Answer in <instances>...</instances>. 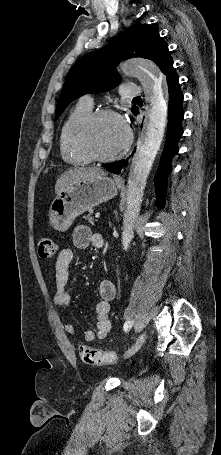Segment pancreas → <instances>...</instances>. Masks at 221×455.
I'll list each match as a JSON object with an SVG mask.
<instances>
[{
	"label": "pancreas",
	"instance_id": "pancreas-1",
	"mask_svg": "<svg viewBox=\"0 0 221 455\" xmlns=\"http://www.w3.org/2000/svg\"><path fill=\"white\" fill-rule=\"evenodd\" d=\"M91 214H92V212H89V214H88V215H85L83 218H84L85 220H88V221L90 222V224H93L94 218L91 217Z\"/></svg>",
	"mask_w": 221,
	"mask_h": 455
}]
</instances>
